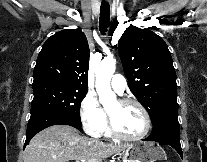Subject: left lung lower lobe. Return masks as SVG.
Listing matches in <instances>:
<instances>
[{"mask_svg": "<svg viewBox=\"0 0 207 162\" xmlns=\"http://www.w3.org/2000/svg\"><path fill=\"white\" fill-rule=\"evenodd\" d=\"M146 141H156L163 145H170L182 157L180 145V125L177 115L166 116L153 125L152 134L144 139Z\"/></svg>", "mask_w": 207, "mask_h": 162, "instance_id": "left-lung-lower-lobe-1", "label": "left lung lower lobe"}]
</instances>
